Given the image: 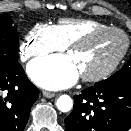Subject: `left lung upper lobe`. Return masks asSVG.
Segmentation results:
<instances>
[{
  "mask_svg": "<svg viewBox=\"0 0 131 131\" xmlns=\"http://www.w3.org/2000/svg\"><path fill=\"white\" fill-rule=\"evenodd\" d=\"M103 87H131V59L122 69L106 80L95 83Z\"/></svg>",
  "mask_w": 131,
  "mask_h": 131,
  "instance_id": "left-lung-upper-lobe-1",
  "label": "left lung upper lobe"
}]
</instances>
